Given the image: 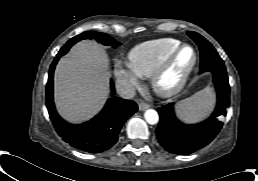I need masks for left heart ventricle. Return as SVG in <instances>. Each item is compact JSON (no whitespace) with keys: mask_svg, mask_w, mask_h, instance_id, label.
Listing matches in <instances>:
<instances>
[{"mask_svg":"<svg viewBox=\"0 0 258 181\" xmlns=\"http://www.w3.org/2000/svg\"><path fill=\"white\" fill-rule=\"evenodd\" d=\"M192 58V51L189 48L183 49L176 60L174 68L167 75L165 83L170 84L175 81L180 72L190 64Z\"/></svg>","mask_w":258,"mask_h":181,"instance_id":"b2bd125f","label":"left heart ventricle"}]
</instances>
